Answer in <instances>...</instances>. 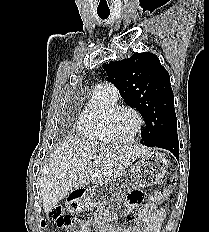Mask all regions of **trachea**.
Returning <instances> with one entry per match:
<instances>
[{"instance_id":"trachea-1","label":"trachea","mask_w":209,"mask_h":232,"mask_svg":"<svg viewBox=\"0 0 209 232\" xmlns=\"http://www.w3.org/2000/svg\"><path fill=\"white\" fill-rule=\"evenodd\" d=\"M97 14L101 19L104 20L108 18V16L110 15V11H97Z\"/></svg>"}]
</instances>
